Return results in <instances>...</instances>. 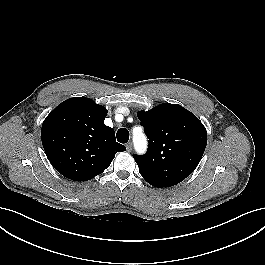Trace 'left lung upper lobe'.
<instances>
[{
	"instance_id": "5c2ea615",
	"label": "left lung upper lobe",
	"mask_w": 265,
	"mask_h": 265,
	"mask_svg": "<svg viewBox=\"0 0 265 265\" xmlns=\"http://www.w3.org/2000/svg\"><path fill=\"white\" fill-rule=\"evenodd\" d=\"M148 138V151L133 157L142 177L158 188L174 186L188 177L200 162L207 144L201 121L180 105L163 103L139 111Z\"/></svg>"
}]
</instances>
